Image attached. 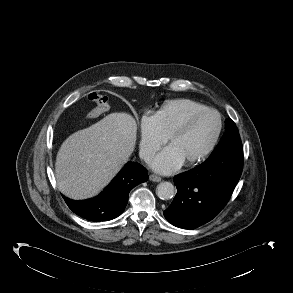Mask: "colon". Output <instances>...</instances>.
Masks as SVG:
<instances>
[{"label": "colon", "instance_id": "1", "mask_svg": "<svg viewBox=\"0 0 293 293\" xmlns=\"http://www.w3.org/2000/svg\"><path fill=\"white\" fill-rule=\"evenodd\" d=\"M89 101L93 104V108L87 113L90 119L99 117L109 109L108 97L99 92H92L88 95Z\"/></svg>", "mask_w": 293, "mask_h": 293}]
</instances>
